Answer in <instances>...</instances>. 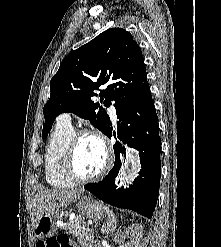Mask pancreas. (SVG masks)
Wrapping results in <instances>:
<instances>
[{
    "instance_id": "obj_1",
    "label": "pancreas",
    "mask_w": 221,
    "mask_h": 247,
    "mask_svg": "<svg viewBox=\"0 0 221 247\" xmlns=\"http://www.w3.org/2000/svg\"><path fill=\"white\" fill-rule=\"evenodd\" d=\"M64 228L77 238L82 247H93V234L83 217H75L73 220L67 222Z\"/></svg>"
}]
</instances>
